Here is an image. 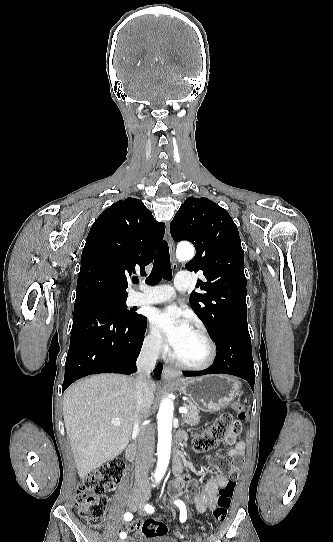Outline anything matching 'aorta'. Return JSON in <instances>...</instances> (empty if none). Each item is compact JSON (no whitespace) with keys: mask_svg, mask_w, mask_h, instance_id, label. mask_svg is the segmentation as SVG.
Wrapping results in <instances>:
<instances>
[{"mask_svg":"<svg viewBox=\"0 0 333 542\" xmlns=\"http://www.w3.org/2000/svg\"><path fill=\"white\" fill-rule=\"evenodd\" d=\"M180 254L184 260L193 258L194 248L190 244H186L184 248H181ZM173 402L170 398L162 400L157 416L158 420V462L155 470L154 478L156 482H161L165 476V472L168 468L171 452V430L173 420Z\"/></svg>","mask_w":333,"mask_h":542,"instance_id":"1","label":"aorta"}]
</instances>
